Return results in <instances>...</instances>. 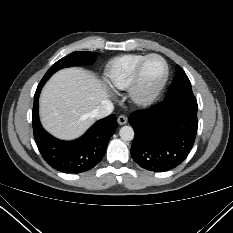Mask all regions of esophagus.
<instances>
[{
  "label": "esophagus",
  "mask_w": 233,
  "mask_h": 233,
  "mask_svg": "<svg viewBox=\"0 0 233 233\" xmlns=\"http://www.w3.org/2000/svg\"><path fill=\"white\" fill-rule=\"evenodd\" d=\"M117 122L119 125H125L128 122V118L125 115H120Z\"/></svg>",
  "instance_id": "34e87169"
}]
</instances>
